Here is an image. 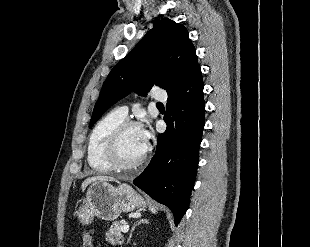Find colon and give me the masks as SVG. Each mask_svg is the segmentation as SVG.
<instances>
[{"mask_svg":"<svg viewBox=\"0 0 310 247\" xmlns=\"http://www.w3.org/2000/svg\"><path fill=\"white\" fill-rule=\"evenodd\" d=\"M81 247H94L91 235L89 232H84L83 242Z\"/></svg>","mask_w":310,"mask_h":247,"instance_id":"5ec220e1","label":"colon"}]
</instances>
